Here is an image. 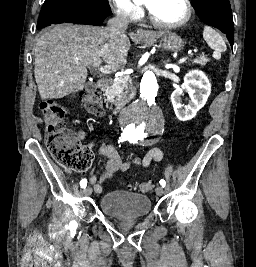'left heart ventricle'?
I'll return each mask as SVG.
<instances>
[{"label":"left heart ventricle","instance_id":"1","mask_svg":"<svg viewBox=\"0 0 256 267\" xmlns=\"http://www.w3.org/2000/svg\"><path fill=\"white\" fill-rule=\"evenodd\" d=\"M184 14V9L179 4L168 1L156 15V21L161 26H165L169 23L181 20Z\"/></svg>","mask_w":256,"mask_h":267}]
</instances>
